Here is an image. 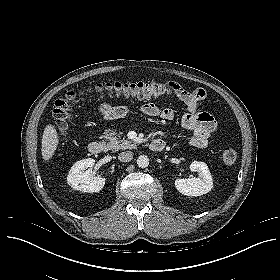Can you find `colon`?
Instances as JSON below:
<instances>
[{
	"label": "colon",
	"mask_w": 280,
	"mask_h": 280,
	"mask_svg": "<svg viewBox=\"0 0 280 280\" xmlns=\"http://www.w3.org/2000/svg\"><path fill=\"white\" fill-rule=\"evenodd\" d=\"M167 91L166 87L158 81L135 83L119 81L100 82L94 87L67 92L63 98L55 101L52 114L59 135L64 136L72 118L73 106L78 102L110 96L147 99L164 95ZM221 157L225 165H232L237 159V151L232 147H225Z\"/></svg>",
	"instance_id": "colon-1"
}]
</instances>
